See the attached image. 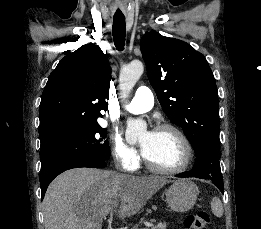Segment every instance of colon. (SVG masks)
Wrapping results in <instances>:
<instances>
[{"mask_svg":"<svg viewBox=\"0 0 261 229\" xmlns=\"http://www.w3.org/2000/svg\"><path fill=\"white\" fill-rule=\"evenodd\" d=\"M211 217L204 210H197L187 215L185 219V229H209Z\"/></svg>","mask_w":261,"mask_h":229,"instance_id":"obj_1","label":"colon"}]
</instances>
